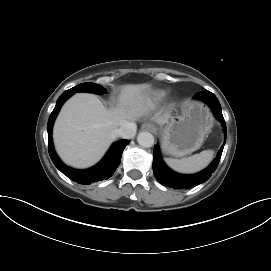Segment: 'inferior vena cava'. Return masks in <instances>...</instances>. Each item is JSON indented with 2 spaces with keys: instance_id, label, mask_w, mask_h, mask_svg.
<instances>
[{
  "instance_id": "inferior-vena-cava-1",
  "label": "inferior vena cava",
  "mask_w": 271,
  "mask_h": 271,
  "mask_svg": "<svg viewBox=\"0 0 271 271\" xmlns=\"http://www.w3.org/2000/svg\"><path fill=\"white\" fill-rule=\"evenodd\" d=\"M136 130L137 126L134 122H125L116 130V134L123 139H132L136 134Z\"/></svg>"
}]
</instances>
